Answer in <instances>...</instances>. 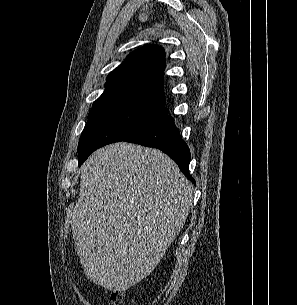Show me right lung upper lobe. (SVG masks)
I'll return each instance as SVG.
<instances>
[{"label": "right lung upper lobe", "instance_id": "cb5924a9", "mask_svg": "<svg viewBox=\"0 0 297 305\" xmlns=\"http://www.w3.org/2000/svg\"><path fill=\"white\" fill-rule=\"evenodd\" d=\"M164 56L163 48L155 45L132 52L108 75L106 90L93 105L119 98H143L165 104Z\"/></svg>", "mask_w": 297, "mask_h": 305}]
</instances>
